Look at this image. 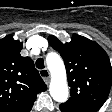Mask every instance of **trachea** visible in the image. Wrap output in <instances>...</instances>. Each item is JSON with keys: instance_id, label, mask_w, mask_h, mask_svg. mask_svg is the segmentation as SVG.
Listing matches in <instances>:
<instances>
[{"instance_id": "obj_1", "label": "trachea", "mask_w": 112, "mask_h": 112, "mask_svg": "<svg viewBox=\"0 0 112 112\" xmlns=\"http://www.w3.org/2000/svg\"><path fill=\"white\" fill-rule=\"evenodd\" d=\"M36 67L38 69H43L45 67L43 58H38L36 60Z\"/></svg>"}]
</instances>
